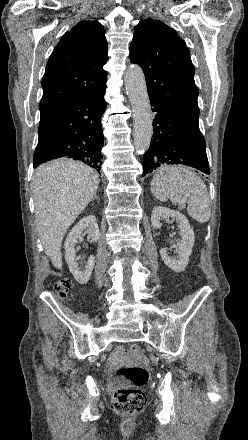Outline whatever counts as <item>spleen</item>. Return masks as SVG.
<instances>
[{
  "label": "spleen",
  "instance_id": "obj_1",
  "mask_svg": "<svg viewBox=\"0 0 248 440\" xmlns=\"http://www.w3.org/2000/svg\"><path fill=\"white\" fill-rule=\"evenodd\" d=\"M152 194L161 202L188 203L187 212L199 223L211 216L209 194L203 180L184 166H162L153 176Z\"/></svg>",
  "mask_w": 248,
  "mask_h": 440
}]
</instances>
